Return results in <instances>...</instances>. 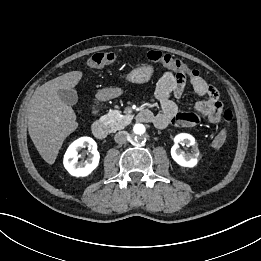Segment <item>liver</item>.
I'll return each mask as SVG.
<instances>
[{
    "instance_id": "obj_1",
    "label": "liver",
    "mask_w": 261,
    "mask_h": 261,
    "mask_svg": "<svg viewBox=\"0 0 261 261\" xmlns=\"http://www.w3.org/2000/svg\"><path fill=\"white\" fill-rule=\"evenodd\" d=\"M81 71H72L38 87L29 102L28 131L37 151L54 164L64 140L78 128L74 110L59 98L58 90L74 88Z\"/></svg>"
}]
</instances>
